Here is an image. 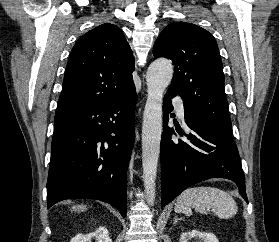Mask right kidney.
I'll list each match as a JSON object with an SVG mask.
<instances>
[{"label": "right kidney", "mask_w": 279, "mask_h": 242, "mask_svg": "<svg viewBox=\"0 0 279 242\" xmlns=\"http://www.w3.org/2000/svg\"><path fill=\"white\" fill-rule=\"evenodd\" d=\"M95 239L96 242H112L109 237V232L103 226H100L96 231L88 234H78L70 242H91Z\"/></svg>", "instance_id": "ca27d5eb"}]
</instances>
